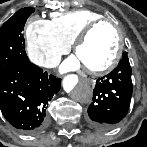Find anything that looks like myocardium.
Segmentation results:
<instances>
[{
  "instance_id": "f54148a6",
  "label": "myocardium",
  "mask_w": 147,
  "mask_h": 147,
  "mask_svg": "<svg viewBox=\"0 0 147 147\" xmlns=\"http://www.w3.org/2000/svg\"><path fill=\"white\" fill-rule=\"evenodd\" d=\"M102 25H109L111 26L116 32L118 36V44L114 53L113 58L104 66L100 68H86V71L94 76L103 75L109 71H111L119 62L122 51H123V38L121 35V31L118 27H116L110 20L108 19H98L90 24H88L75 38L73 41L72 49L73 52L76 54L79 47L87 40L91 32L99 26Z\"/></svg>"
}]
</instances>
